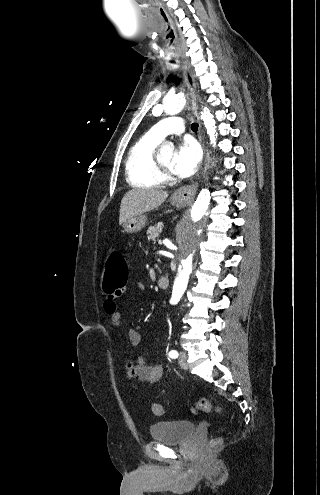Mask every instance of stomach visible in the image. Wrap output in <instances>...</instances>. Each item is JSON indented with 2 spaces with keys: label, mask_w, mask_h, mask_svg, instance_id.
<instances>
[{
  "label": "stomach",
  "mask_w": 320,
  "mask_h": 495,
  "mask_svg": "<svg viewBox=\"0 0 320 495\" xmlns=\"http://www.w3.org/2000/svg\"><path fill=\"white\" fill-rule=\"evenodd\" d=\"M170 201L171 204L177 208H182L187 204L186 201H183L174 195L170 198ZM146 222H147L146 215L144 214L136 215L134 217L127 219L123 223V228L127 233H137L145 227Z\"/></svg>",
  "instance_id": "obj_1"
}]
</instances>
